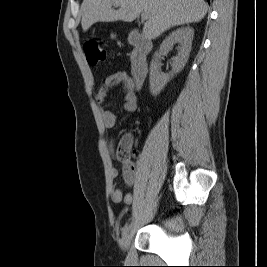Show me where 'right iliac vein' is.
Instances as JSON below:
<instances>
[{
    "label": "right iliac vein",
    "mask_w": 267,
    "mask_h": 267,
    "mask_svg": "<svg viewBox=\"0 0 267 267\" xmlns=\"http://www.w3.org/2000/svg\"><path fill=\"white\" fill-rule=\"evenodd\" d=\"M130 241H131V234L128 232L123 236L121 240V247L124 251L128 248Z\"/></svg>",
    "instance_id": "right-iliac-vein-1"
}]
</instances>
